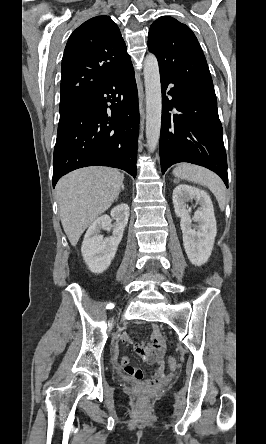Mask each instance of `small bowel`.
Instances as JSON below:
<instances>
[{
  "label": "small bowel",
  "instance_id": "1",
  "mask_svg": "<svg viewBox=\"0 0 266 444\" xmlns=\"http://www.w3.org/2000/svg\"><path fill=\"white\" fill-rule=\"evenodd\" d=\"M129 338L127 336L122 337V341L126 342ZM135 352L140 355L147 364L154 365L156 367L151 378L146 379L144 383L148 386H155L160 383L165 377V364L163 361V354L165 349V343L161 332L156 325L153 326V333L151 336V343L149 345L135 344ZM117 368L131 377L135 382H142L143 372L141 369L131 366L129 364V358L124 356L117 363Z\"/></svg>",
  "mask_w": 266,
  "mask_h": 444
}]
</instances>
